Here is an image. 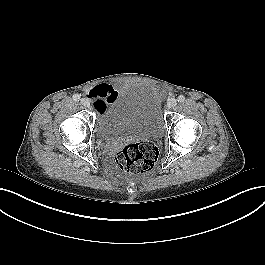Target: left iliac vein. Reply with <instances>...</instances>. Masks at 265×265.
<instances>
[{
	"mask_svg": "<svg viewBox=\"0 0 265 265\" xmlns=\"http://www.w3.org/2000/svg\"><path fill=\"white\" fill-rule=\"evenodd\" d=\"M177 105V100L175 98H170L167 102V107L172 109Z\"/></svg>",
	"mask_w": 265,
	"mask_h": 265,
	"instance_id": "obj_1",
	"label": "left iliac vein"
}]
</instances>
